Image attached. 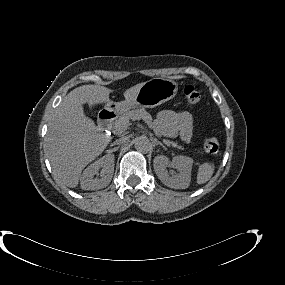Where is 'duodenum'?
<instances>
[{
    "label": "duodenum",
    "mask_w": 285,
    "mask_h": 285,
    "mask_svg": "<svg viewBox=\"0 0 285 285\" xmlns=\"http://www.w3.org/2000/svg\"><path fill=\"white\" fill-rule=\"evenodd\" d=\"M116 117L117 111L115 109L103 111L99 117L100 128L103 130L109 129Z\"/></svg>",
    "instance_id": "410a0bca"
}]
</instances>
